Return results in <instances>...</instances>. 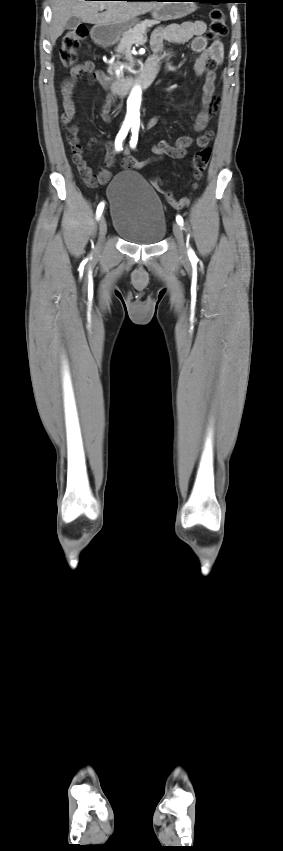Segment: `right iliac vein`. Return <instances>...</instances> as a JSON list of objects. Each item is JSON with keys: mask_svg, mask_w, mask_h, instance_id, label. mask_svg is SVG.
Instances as JSON below:
<instances>
[{"mask_svg": "<svg viewBox=\"0 0 283 851\" xmlns=\"http://www.w3.org/2000/svg\"><path fill=\"white\" fill-rule=\"evenodd\" d=\"M107 233V223L104 215L101 217L99 221V247L103 242L105 235Z\"/></svg>", "mask_w": 283, "mask_h": 851, "instance_id": "1", "label": "right iliac vein"}]
</instances>
